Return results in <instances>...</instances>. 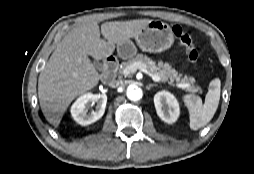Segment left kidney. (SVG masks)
Segmentation results:
<instances>
[{
  "label": "left kidney",
  "mask_w": 254,
  "mask_h": 174,
  "mask_svg": "<svg viewBox=\"0 0 254 174\" xmlns=\"http://www.w3.org/2000/svg\"><path fill=\"white\" fill-rule=\"evenodd\" d=\"M154 105L158 116L164 122L172 124L179 117L180 109L177 99L168 91H160L154 96Z\"/></svg>",
  "instance_id": "5707ae66"
}]
</instances>
